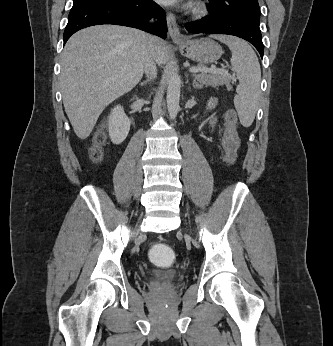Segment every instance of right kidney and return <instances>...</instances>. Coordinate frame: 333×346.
<instances>
[{
  "label": "right kidney",
  "mask_w": 333,
  "mask_h": 346,
  "mask_svg": "<svg viewBox=\"0 0 333 346\" xmlns=\"http://www.w3.org/2000/svg\"><path fill=\"white\" fill-rule=\"evenodd\" d=\"M109 137L113 144H121L127 137L130 130V120L124 113L121 105L114 107L108 121Z\"/></svg>",
  "instance_id": "obj_1"
}]
</instances>
